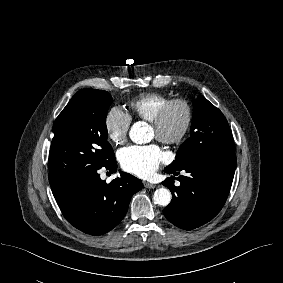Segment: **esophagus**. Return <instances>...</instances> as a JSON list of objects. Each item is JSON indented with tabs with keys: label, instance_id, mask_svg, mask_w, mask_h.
<instances>
[{
	"label": "esophagus",
	"instance_id": "1",
	"mask_svg": "<svg viewBox=\"0 0 283 283\" xmlns=\"http://www.w3.org/2000/svg\"><path fill=\"white\" fill-rule=\"evenodd\" d=\"M144 187L148 188V189H154L156 187L155 184H152L150 182H143Z\"/></svg>",
	"mask_w": 283,
	"mask_h": 283
}]
</instances>
